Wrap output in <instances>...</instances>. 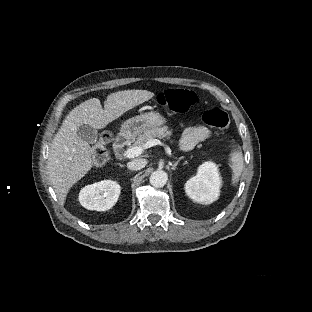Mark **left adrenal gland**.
<instances>
[{"mask_svg":"<svg viewBox=\"0 0 312 312\" xmlns=\"http://www.w3.org/2000/svg\"><path fill=\"white\" fill-rule=\"evenodd\" d=\"M183 159V157H179L178 160L174 163V164H171V169L172 170H175L176 169V166L178 165L179 161Z\"/></svg>","mask_w":312,"mask_h":312,"instance_id":"obj_1","label":"left adrenal gland"}]
</instances>
